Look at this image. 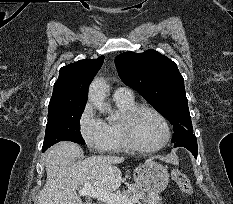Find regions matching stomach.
Masks as SVG:
<instances>
[{"mask_svg": "<svg viewBox=\"0 0 233 204\" xmlns=\"http://www.w3.org/2000/svg\"><path fill=\"white\" fill-rule=\"evenodd\" d=\"M133 178L145 191L158 194L167 187L169 173L162 164L148 160L134 169Z\"/></svg>", "mask_w": 233, "mask_h": 204, "instance_id": "0dacf381", "label": "stomach"}]
</instances>
